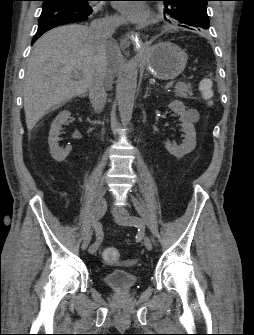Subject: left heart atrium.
<instances>
[{
    "mask_svg": "<svg viewBox=\"0 0 254 335\" xmlns=\"http://www.w3.org/2000/svg\"><path fill=\"white\" fill-rule=\"evenodd\" d=\"M117 9L126 21L134 24L144 25L150 17L148 8L141 2L120 1L117 3Z\"/></svg>",
    "mask_w": 254,
    "mask_h": 335,
    "instance_id": "obj_1",
    "label": "left heart atrium"
}]
</instances>
